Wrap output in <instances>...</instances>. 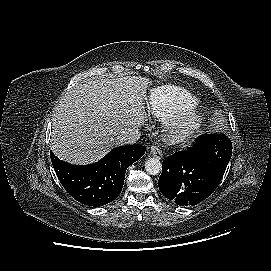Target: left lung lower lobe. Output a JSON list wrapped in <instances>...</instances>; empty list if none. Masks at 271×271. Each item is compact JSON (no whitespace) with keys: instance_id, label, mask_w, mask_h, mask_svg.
<instances>
[{"instance_id":"obj_1","label":"left lung lower lobe","mask_w":271,"mask_h":271,"mask_svg":"<svg viewBox=\"0 0 271 271\" xmlns=\"http://www.w3.org/2000/svg\"><path fill=\"white\" fill-rule=\"evenodd\" d=\"M224 137L222 134L202 135L187 151L168 156L162 163V174L158 180L161 193L184 206L205 200L217 188L225 170L206 161L201 148Z\"/></svg>"}]
</instances>
